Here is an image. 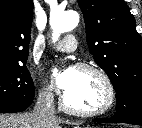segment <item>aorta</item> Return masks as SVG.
I'll list each match as a JSON object with an SVG mask.
<instances>
[{
	"instance_id": "aorta-1",
	"label": "aorta",
	"mask_w": 142,
	"mask_h": 128,
	"mask_svg": "<svg viewBox=\"0 0 142 128\" xmlns=\"http://www.w3.org/2000/svg\"><path fill=\"white\" fill-rule=\"evenodd\" d=\"M79 23V14L76 11H58L50 16L52 40L56 42L64 32L73 30Z\"/></svg>"
}]
</instances>
